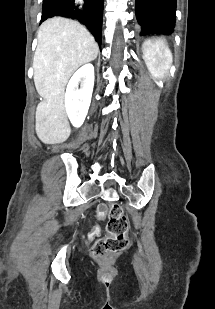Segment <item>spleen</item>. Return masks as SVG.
I'll use <instances>...</instances> for the list:
<instances>
[{
	"instance_id": "obj_1",
	"label": "spleen",
	"mask_w": 215,
	"mask_h": 309,
	"mask_svg": "<svg viewBox=\"0 0 215 309\" xmlns=\"http://www.w3.org/2000/svg\"><path fill=\"white\" fill-rule=\"evenodd\" d=\"M143 58L148 66L150 72L157 76V78H162L168 74V68L173 62L172 52L164 42V40H147L143 44Z\"/></svg>"
}]
</instances>
